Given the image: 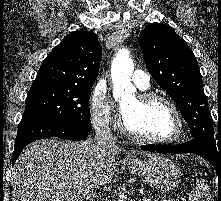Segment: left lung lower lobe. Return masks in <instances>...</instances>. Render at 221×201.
<instances>
[{
	"label": "left lung lower lobe",
	"instance_id": "1",
	"mask_svg": "<svg viewBox=\"0 0 221 201\" xmlns=\"http://www.w3.org/2000/svg\"><path fill=\"white\" fill-rule=\"evenodd\" d=\"M142 150L157 151L162 153H193L206 158L216 169L217 174L221 175V147L210 145L201 138H192L190 141L177 145H143Z\"/></svg>",
	"mask_w": 221,
	"mask_h": 201
}]
</instances>
